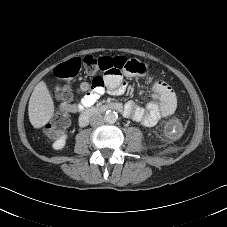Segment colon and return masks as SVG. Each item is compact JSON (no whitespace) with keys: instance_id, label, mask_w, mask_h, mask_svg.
<instances>
[{"instance_id":"obj_1","label":"colon","mask_w":227,"mask_h":227,"mask_svg":"<svg viewBox=\"0 0 227 227\" xmlns=\"http://www.w3.org/2000/svg\"><path fill=\"white\" fill-rule=\"evenodd\" d=\"M82 67L88 73L94 75L92 83L95 87L103 85L101 74L115 76L127 72L143 75L149 70L146 64L124 56L87 55L82 59L73 58L53 70V76L60 82L59 94L62 98H69L71 92L69 83L79 74ZM68 120V112H62L54 123L46 126L48 134L54 137L56 134L55 130L64 127L68 123Z\"/></svg>"}]
</instances>
